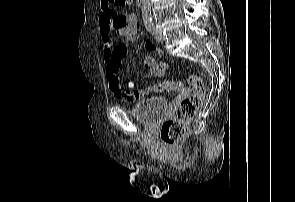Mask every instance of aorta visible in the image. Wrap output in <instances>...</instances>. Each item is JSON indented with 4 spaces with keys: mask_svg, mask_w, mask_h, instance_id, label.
Masks as SVG:
<instances>
[{
    "mask_svg": "<svg viewBox=\"0 0 295 202\" xmlns=\"http://www.w3.org/2000/svg\"><path fill=\"white\" fill-rule=\"evenodd\" d=\"M140 1H141L142 16L144 19H149L151 17L150 0H140Z\"/></svg>",
    "mask_w": 295,
    "mask_h": 202,
    "instance_id": "obj_1",
    "label": "aorta"
}]
</instances>
